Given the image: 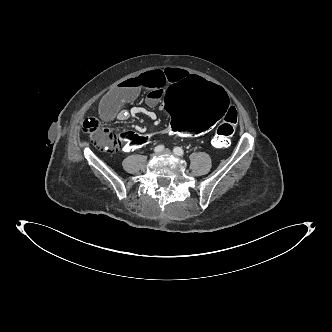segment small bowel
I'll list each match as a JSON object with an SVG mask.
<instances>
[{
  "instance_id": "c3829d8e",
  "label": "small bowel",
  "mask_w": 332,
  "mask_h": 332,
  "mask_svg": "<svg viewBox=\"0 0 332 332\" xmlns=\"http://www.w3.org/2000/svg\"><path fill=\"white\" fill-rule=\"evenodd\" d=\"M189 75L192 74L184 69L166 68L149 70L137 76L126 79L102 97L98 108L99 117L106 121L112 120L114 118L125 120L127 117L121 111L122 106L125 103L136 99L141 90H146L148 92L146 98L147 105L155 106L162 99L165 90L169 86L177 83V81H179L181 78ZM135 109L137 110L134 112L135 115L150 114V112L144 110L143 108ZM231 109L234 108L231 107ZM134 129L139 133L146 132V127L142 125H135ZM167 133H169V131ZM169 134L174 135L172 133Z\"/></svg>"
}]
</instances>
